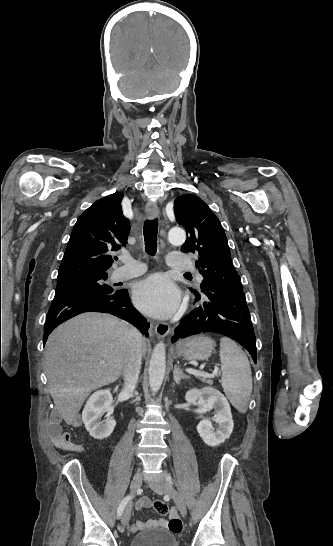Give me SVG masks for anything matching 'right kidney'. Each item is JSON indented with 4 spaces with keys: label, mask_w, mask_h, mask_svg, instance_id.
Here are the masks:
<instances>
[{
    "label": "right kidney",
    "mask_w": 333,
    "mask_h": 546,
    "mask_svg": "<svg viewBox=\"0 0 333 546\" xmlns=\"http://www.w3.org/2000/svg\"><path fill=\"white\" fill-rule=\"evenodd\" d=\"M112 394L109 389L97 390L86 402L82 412V420L86 430L95 438L102 440L110 436L116 426L111 417L114 411ZM106 414L105 419L102 416Z\"/></svg>",
    "instance_id": "ca27d5eb"
}]
</instances>
